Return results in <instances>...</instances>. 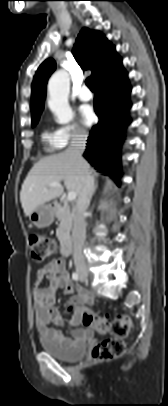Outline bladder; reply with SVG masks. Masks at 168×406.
I'll list each match as a JSON object with an SVG mask.
<instances>
[{
    "instance_id": "obj_1",
    "label": "bladder",
    "mask_w": 168,
    "mask_h": 406,
    "mask_svg": "<svg viewBox=\"0 0 168 406\" xmlns=\"http://www.w3.org/2000/svg\"><path fill=\"white\" fill-rule=\"evenodd\" d=\"M39 340L44 352L62 361L72 362L79 360L85 355L86 352L85 343H76L70 346H64L53 343L43 336H41Z\"/></svg>"
}]
</instances>
